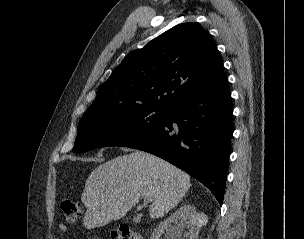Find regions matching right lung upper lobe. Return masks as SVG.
Segmentation results:
<instances>
[{
	"label": "right lung upper lobe",
	"mask_w": 304,
	"mask_h": 239,
	"mask_svg": "<svg viewBox=\"0 0 304 239\" xmlns=\"http://www.w3.org/2000/svg\"><path fill=\"white\" fill-rule=\"evenodd\" d=\"M223 74L222 59L210 35L198 24H179L126 56L99 86L82 118L123 107L167 109Z\"/></svg>",
	"instance_id": "1"
}]
</instances>
